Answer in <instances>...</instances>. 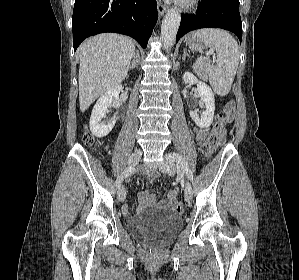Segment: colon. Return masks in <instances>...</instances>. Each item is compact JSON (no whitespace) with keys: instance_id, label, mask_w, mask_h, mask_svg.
<instances>
[{"instance_id":"colon-1","label":"colon","mask_w":299,"mask_h":280,"mask_svg":"<svg viewBox=\"0 0 299 280\" xmlns=\"http://www.w3.org/2000/svg\"><path fill=\"white\" fill-rule=\"evenodd\" d=\"M234 110V103L229 102L223 112H220L215 120L212 131L209 134L206 141L201 145V151L205 157L211 155L217 146V141L220 134L223 132L225 124L229 121L232 111ZM83 142L87 146H93L95 144V138L88 132L83 136ZM174 211L178 214L183 212V205L181 203H176L174 205Z\"/></svg>"}]
</instances>
